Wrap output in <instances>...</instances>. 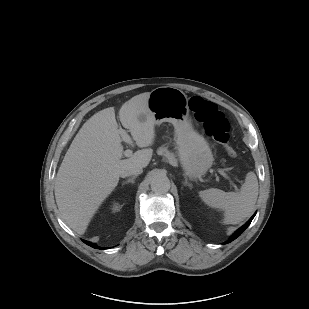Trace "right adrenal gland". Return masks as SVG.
<instances>
[{"label":"right adrenal gland","instance_id":"obj_1","mask_svg":"<svg viewBox=\"0 0 309 309\" xmlns=\"http://www.w3.org/2000/svg\"><path fill=\"white\" fill-rule=\"evenodd\" d=\"M136 177H137V176H132V177L129 178L127 181H124V182L122 183V185H125V184H128V183L134 184V183H135Z\"/></svg>","mask_w":309,"mask_h":309}]
</instances>
